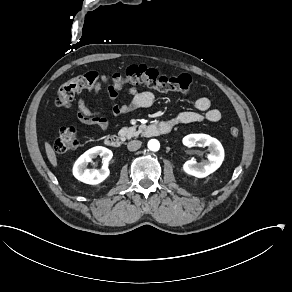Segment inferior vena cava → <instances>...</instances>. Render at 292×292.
Instances as JSON below:
<instances>
[{
    "instance_id": "obj_1",
    "label": "inferior vena cava",
    "mask_w": 292,
    "mask_h": 292,
    "mask_svg": "<svg viewBox=\"0 0 292 292\" xmlns=\"http://www.w3.org/2000/svg\"><path fill=\"white\" fill-rule=\"evenodd\" d=\"M140 147H141V142L138 141V140L130 141V142L127 144V149H128L129 151H137Z\"/></svg>"
}]
</instances>
